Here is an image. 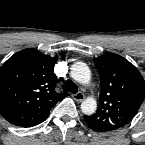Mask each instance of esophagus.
Masks as SVG:
<instances>
[{
	"mask_svg": "<svg viewBox=\"0 0 145 145\" xmlns=\"http://www.w3.org/2000/svg\"><path fill=\"white\" fill-rule=\"evenodd\" d=\"M72 97L74 98V100L81 102L82 100H84L85 95L82 92H77L73 94Z\"/></svg>",
	"mask_w": 145,
	"mask_h": 145,
	"instance_id": "34e87169",
	"label": "esophagus"
}]
</instances>
